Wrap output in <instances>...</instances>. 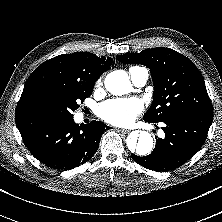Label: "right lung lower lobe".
Returning <instances> with one entry per match:
<instances>
[{
	"mask_svg": "<svg viewBox=\"0 0 222 222\" xmlns=\"http://www.w3.org/2000/svg\"><path fill=\"white\" fill-rule=\"evenodd\" d=\"M16 125L31 154L57 170H70L90 160L101 135L111 127L100 121L78 125L73 118L43 111L15 115Z\"/></svg>",
	"mask_w": 222,
	"mask_h": 222,
	"instance_id": "1",
	"label": "right lung lower lobe"
}]
</instances>
